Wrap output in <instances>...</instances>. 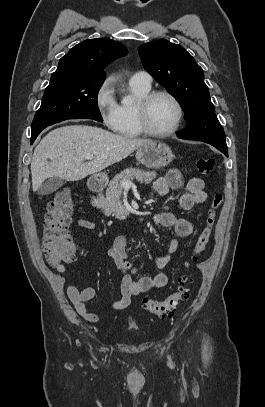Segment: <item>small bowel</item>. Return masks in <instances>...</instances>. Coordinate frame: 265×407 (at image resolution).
<instances>
[{"mask_svg": "<svg viewBox=\"0 0 265 407\" xmlns=\"http://www.w3.org/2000/svg\"><path fill=\"white\" fill-rule=\"evenodd\" d=\"M184 186L186 192L180 198V206L183 210L191 211L206 201L207 195L204 191V180L202 178L193 177L185 183L181 173L176 169H171L154 183V189L160 196H167L171 190H179ZM155 222L172 229L179 238L188 237L194 232L193 221L186 218H177L170 212H159L155 216ZM75 225L87 230H93L96 227L94 221L85 218L78 219ZM178 248L179 241L172 239L166 252L156 259V267L158 269L165 268ZM128 252H133V249L128 247V239L125 236L116 237L112 247L108 250V256L115 262L121 277V297L110 304L107 310H124L130 306L133 296L154 288H163L168 283V276L162 271L151 277L145 276L134 279L133 275L136 274V269L128 261ZM56 270L63 273L65 267L61 265L56 267ZM96 293L97 291L93 287L78 289L71 282L66 285V294L77 313L89 322H97L99 319L98 315L91 311L87 305L89 301L95 298Z\"/></svg>", "mask_w": 265, "mask_h": 407, "instance_id": "c3829d8e", "label": "small bowel"}]
</instances>
